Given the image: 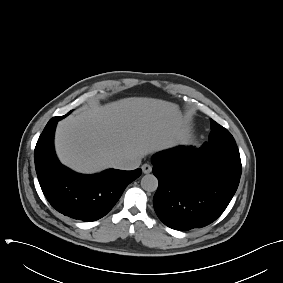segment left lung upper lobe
<instances>
[{
	"instance_id": "5c2ea615",
	"label": "left lung upper lobe",
	"mask_w": 283,
	"mask_h": 283,
	"mask_svg": "<svg viewBox=\"0 0 283 283\" xmlns=\"http://www.w3.org/2000/svg\"><path fill=\"white\" fill-rule=\"evenodd\" d=\"M204 146L221 148L230 153L239 155L236 142L229 131L211 119V132L209 142H205Z\"/></svg>"
}]
</instances>
